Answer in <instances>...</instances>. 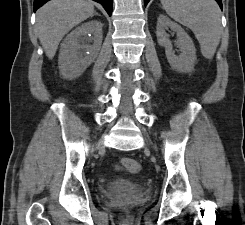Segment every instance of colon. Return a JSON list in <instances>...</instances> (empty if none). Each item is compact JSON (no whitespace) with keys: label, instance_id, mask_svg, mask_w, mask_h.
Wrapping results in <instances>:
<instances>
[{"label":"colon","instance_id":"5ec220e1","mask_svg":"<svg viewBox=\"0 0 245 225\" xmlns=\"http://www.w3.org/2000/svg\"><path fill=\"white\" fill-rule=\"evenodd\" d=\"M140 169V162L131 158H122L116 166V171L126 173H137Z\"/></svg>","mask_w":245,"mask_h":225}]
</instances>
